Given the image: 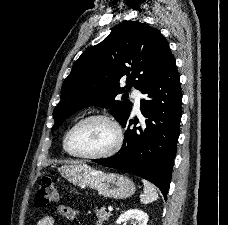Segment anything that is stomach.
<instances>
[{"label": "stomach", "mask_w": 228, "mask_h": 225, "mask_svg": "<svg viewBox=\"0 0 228 225\" xmlns=\"http://www.w3.org/2000/svg\"><path fill=\"white\" fill-rule=\"evenodd\" d=\"M64 175L76 187H81V189L89 187V189L98 191L102 197H109V199H128L134 195L136 189L133 181H130L128 177L117 175V173L97 171L83 161L66 167Z\"/></svg>", "instance_id": "0dacf381"}]
</instances>
